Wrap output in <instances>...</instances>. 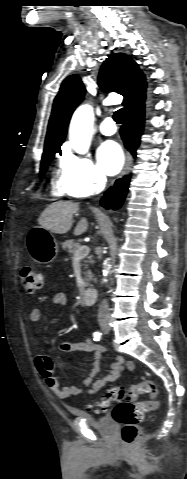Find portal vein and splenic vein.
<instances>
[{
	"mask_svg": "<svg viewBox=\"0 0 187 479\" xmlns=\"http://www.w3.org/2000/svg\"><path fill=\"white\" fill-rule=\"evenodd\" d=\"M90 252V248L88 246H80L76 251H75V254H74V259L75 260H79V259H82L84 258L85 256H87Z\"/></svg>",
	"mask_w": 187,
	"mask_h": 479,
	"instance_id": "obj_1",
	"label": "portal vein and splenic vein"
}]
</instances>
